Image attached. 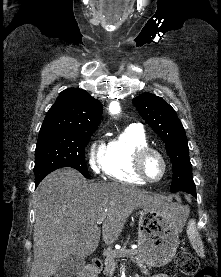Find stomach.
<instances>
[{
  "label": "stomach",
  "instance_id": "obj_1",
  "mask_svg": "<svg viewBox=\"0 0 221 277\" xmlns=\"http://www.w3.org/2000/svg\"><path fill=\"white\" fill-rule=\"evenodd\" d=\"M187 216L188 210L175 203L140 211L137 244L146 266L161 267L172 260Z\"/></svg>",
  "mask_w": 221,
  "mask_h": 277
}]
</instances>
